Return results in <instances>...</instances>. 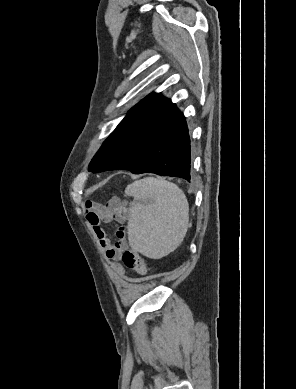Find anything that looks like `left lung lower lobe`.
Here are the masks:
<instances>
[{"mask_svg": "<svg viewBox=\"0 0 296 389\" xmlns=\"http://www.w3.org/2000/svg\"><path fill=\"white\" fill-rule=\"evenodd\" d=\"M191 150L183 113L171 100L152 93L135 105L104 141L95 155L99 163L96 172L124 169L190 182Z\"/></svg>", "mask_w": 296, "mask_h": 389, "instance_id": "0a47b994", "label": "left lung lower lobe"}]
</instances>
